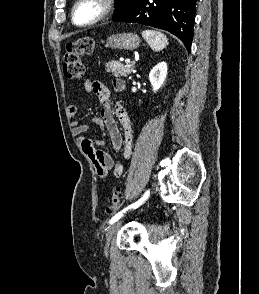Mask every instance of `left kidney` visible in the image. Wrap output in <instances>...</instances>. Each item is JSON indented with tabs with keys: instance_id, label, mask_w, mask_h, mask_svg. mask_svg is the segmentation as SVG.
I'll use <instances>...</instances> for the list:
<instances>
[{
	"instance_id": "obj_1",
	"label": "left kidney",
	"mask_w": 259,
	"mask_h": 294,
	"mask_svg": "<svg viewBox=\"0 0 259 294\" xmlns=\"http://www.w3.org/2000/svg\"><path fill=\"white\" fill-rule=\"evenodd\" d=\"M167 64L165 62L158 63L149 73V81L153 91L156 92L163 85L167 77Z\"/></svg>"
}]
</instances>
